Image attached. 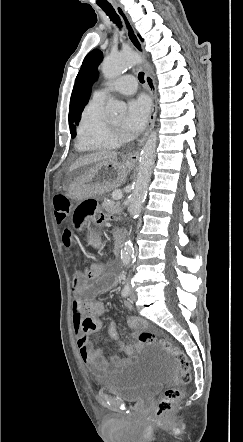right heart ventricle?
<instances>
[{"label":"right heart ventricle","instance_id":"obj_1","mask_svg":"<svg viewBox=\"0 0 243 442\" xmlns=\"http://www.w3.org/2000/svg\"><path fill=\"white\" fill-rule=\"evenodd\" d=\"M104 101L92 98L84 107L77 126L76 149L79 152L112 149L118 142L111 140L106 132Z\"/></svg>","mask_w":243,"mask_h":442}]
</instances>
